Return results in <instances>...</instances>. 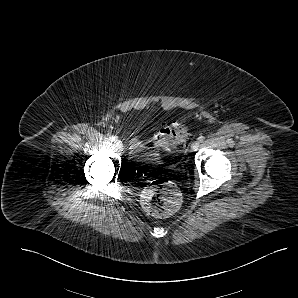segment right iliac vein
I'll list each match as a JSON object with an SVG mask.
<instances>
[{"label": "right iliac vein", "instance_id": "obj_1", "mask_svg": "<svg viewBox=\"0 0 298 298\" xmlns=\"http://www.w3.org/2000/svg\"><path fill=\"white\" fill-rule=\"evenodd\" d=\"M115 145L119 150L123 149V143L120 140H116Z\"/></svg>", "mask_w": 298, "mask_h": 298}]
</instances>
